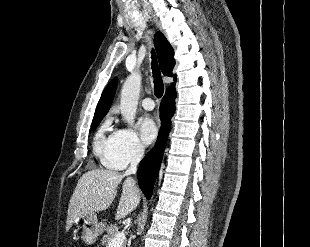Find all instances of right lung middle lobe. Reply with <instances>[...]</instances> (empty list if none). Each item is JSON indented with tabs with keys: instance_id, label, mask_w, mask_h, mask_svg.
I'll use <instances>...</instances> for the list:
<instances>
[{
	"instance_id": "dd1d6c3e",
	"label": "right lung middle lobe",
	"mask_w": 310,
	"mask_h": 247,
	"mask_svg": "<svg viewBox=\"0 0 310 247\" xmlns=\"http://www.w3.org/2000/svg\"><path fill=\"white\" fill-rule=\"evenodd\" d=\"M103 117L104 116H101V117H99L97 119H94L93 122H92L91 128L92 129L96 128L99 125V123L101 122V120L103 119Z\"/></svg>"
}]
</instances>
